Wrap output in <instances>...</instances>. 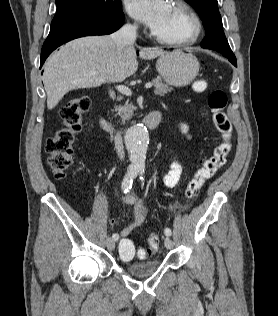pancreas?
Returning a JSON list of instances; mask_svg holds the SVG:
<instances>
[{
  "label": "pancreas",
  "instance_id": "1",
  "mask_svg": "<svg viewBox=\"0 0 278 316\" xmlns=\"http://www.w3.org/2000/svg\"><path fill=\"white\" fill-rule=\"evenodd\" d=\"M152 83L155 87L154 93L156 95L164 96L168 91L172 89L169 88L168 84L163 83V81L159 77L153 79ZM115 111L121 117L122 121L125 122V120L129 119L130 116L133 114L134 107L132 103L126 102L123 106L117 107Z\"/></svg>",
  "mask_w": 278,
  "mask_h": 316
}]
</instances>
